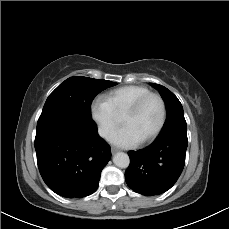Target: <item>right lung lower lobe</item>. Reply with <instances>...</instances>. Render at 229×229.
<instances>
[{
    "label": "right lung lower lobe",
    "mask_w": 229,
    "mask_h": 229,
    "mask_svg": "<svg viewBox=\"0 0 229 229\" xmlns=\"http://www.w3.org/2000/svg\"><path fill=\"white\" fill-rule=\"evenodd\" d=\"M35 150L40 174L56 194L82 198L94 193L111 158L91 118L68 113L40 116Z\"/></svg>",
    "instance_id": "1"
}]
</instances>
